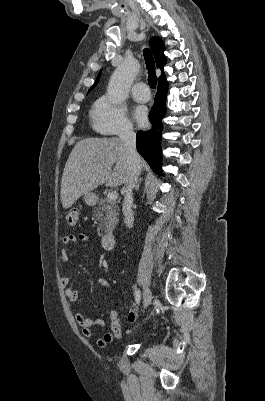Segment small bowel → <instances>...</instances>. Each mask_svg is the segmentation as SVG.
Here are the masks:
<instances>
[{
  "label": "small bowel",
  "mask_w": 265,
  "mask_h": 401,
  "mask_svg": "<svg viewBox=\"0 0 265 401\" xmlns=\"http://www.w3.org/2000/svg\"><path fill=\"white\" fill-rule=\"evenodd\" d=\"M62 242L66 246L77 243V242L87 243V242H89V236L86 234H79V235L69 234L63 238ZM60 257L64 263H67L69 261V252L67 251V249H65V248L62 249ZM61 282L65 288V295H66L67 299L72 303L76 302L78 299L79 293L76 289H74L71 286V278L68 276H63L61 279ZM97 283L99 285L105 287L106 289H108L110 292L114 291L111 283L104 278H101V277L98 278ZM109 316H110V320H111V331L105 333L103 336H101L97 339L96 342L99 347H105L108 344H110L111 342H113L114 340L120 339L122 337L121 315L119 314V312L116 309H112ZM75 319H76V322L78 323V325L80 326L83 335L86 338H91L93 336L92 328L94 326H103L104 325V321L102 319H95L92 316H86L80 312H77L75 314Z\"/></svg>",
  "instance_id": "obj_1"
}]
</instances>
